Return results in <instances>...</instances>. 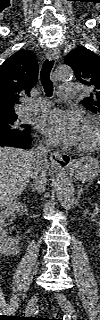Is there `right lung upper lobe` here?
Segmentation results:
<instances>
[{
	"label": "right lung upper lobe",
	"instance_id": "obj_1",
	"mask_svg": "<svg viewBox=\"0 0 100 320\" xmlns=\"http://www.w3.org/2000/svg\"><path fill=\"white\" fill-rule=\"evenodd\" d=\"M37 76V61L29 50H19L0 66V119L17 117L14 106L29 95Z\"/></svg>",
	"mask_w": 100,
	"mask_h": 320
}]
</instances>
